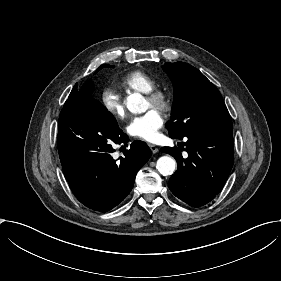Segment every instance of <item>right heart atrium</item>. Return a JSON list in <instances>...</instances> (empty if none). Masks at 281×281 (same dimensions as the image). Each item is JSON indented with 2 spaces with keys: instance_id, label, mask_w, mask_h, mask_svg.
<instances>
[{
  "instance_id": "obj_1",
  "label": "right heart atrium",
  "mask_w": 281,
  "mask_h": 281,
  "mask_svg": "<svg viewBox=\"0 0 281 281\" xmlns=\"http://www.w3.org/2000/svg\"><path fill=\"white\" fill-rule=\"evenodd\" d=\"M101 104L104 110L111 114L122 117L124 115V104L119 93L112 87H105L100 94Z\"/></svg>"
}]
</instances>
